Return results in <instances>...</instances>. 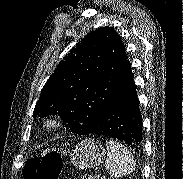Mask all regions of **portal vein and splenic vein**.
<instances>
[{
    "mask_svg": "<svg viewBox=\"0 0 183 179\" xmlns=\"http://www.w3.org/2000/svg\"><path fill=\"white\" fill-rule=\"evenodd\" d=\"M89 177V179H104L102 176H101V174H97L95 177H93V176H88Z\"/></svg>",
    "mask_w": 183,
    "mask_h": 179,
    "instance_id": "obj_1",
    "label": "portal vein and splenic vein"
}]
</instances>
